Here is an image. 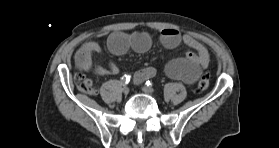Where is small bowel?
<instances>
[{
	"label": "small bowel",
	"instance_id": "small-bowel-1",
	"mask_svg": "<svg viewBox=\"0 0 279 148\" xmlns=\"http://www.w3.org/2000/svg\"><path fill=\"white\" fill-rule=\"evenodd\" d=\"M160 40L168 49H175L181 43L191 49L186 51L183 57L172 59L165 65V73L171 78L193 83L210 63L208 49L191 34H181L176 29L166 28L161 31ZM151 43L150 35L144 30L132 33L116 31L111 33L107 40L109 50L115 55H123L129 49L144 53L149 50ZM99 51L100 47L94 41L83 44L76 52L78 68L99 76L117 74L118 67L113 62H110L107 68L97 67L92 63V56ZM155 74L156 69L148 66L137 71L133 80L136 84H140Z\"/></svg>",
	"mask_w": 279,
	"mask_h": 148
}]
</instances>
